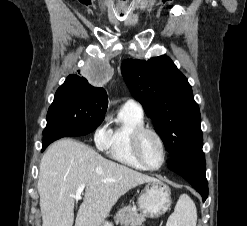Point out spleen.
<instances>
[{"label": "spleen", "mask_w": 247, "mask_h": 226, "mask_svg": "<svg viewBox=\"0 0 247 226\" xmlns=\"http://www.w3.org/2000/svg\"><path fill=\"white\" fill-rule=\"evenodd\" d=\"M197 210L193 200L186 194L179 197L174 212L166 226H196Z\"/></svg>", "instance_id": "3e777b00"}]
</instances>
